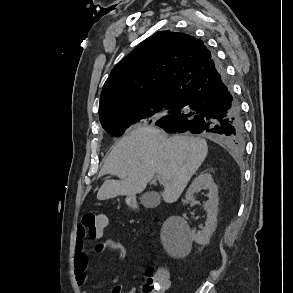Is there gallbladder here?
I'll return each mask as SVG.
<instances>
[{"label": "gallbladder", "mask_w": 293, "mask_h": 293, "mask_svg": "<svg viewBox=\"0 0 293 293\" xmlns=\"http://www.w3.org/2000/svg\"><path fill=\"white\" fill-rule=\"evenodd\" d=\"M140 202L143 206L152 208L159 204L160 198L155 192H147L140 197Z\"/></svg>", "instance_id": "bac80fb5"}]
</instances>
